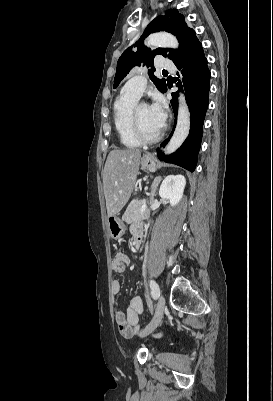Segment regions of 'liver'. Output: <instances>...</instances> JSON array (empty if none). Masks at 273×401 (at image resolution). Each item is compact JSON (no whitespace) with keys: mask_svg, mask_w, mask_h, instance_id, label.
<instances>
[{"mask_svg":"<svg viewBox=\"0 0 273 401\" xmlns=\"http://www.w3.org/2000/svg\"><path fill=\"white\" fill-rule=\"evenodd\" d=\"M141 152L138 148L110 150L103 170V190L108 217L118 215L128 203L136 182Z\"/></svg>","mask_w":273,"mask_h":401,"instance_id":"liver-1","label":"liver"}]
</instances>
